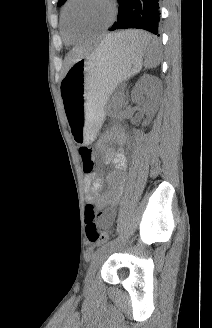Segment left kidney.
Instances as JSON below:
<instances>
[{"mask_svg":"<svg viewBox=\"0 0 212 328\" xmlns=\"http://www.w3.org/2000/svg\"><path fill=\"white\" fill-rule=\"evenodd\" d=\"M159 91L160 82L158 78L152 75L142 76L136 83L132 91V100L134 102L142 101L144 95L148 96L147 100L142 101V103L144 104V111L149 118L143 123V125L149 124L150 119L155 115L157 111L159 102Z\"/></svg>","mask_w":212,"mask_h":328,"instance_id":"5707ae66","label":"left kidney"}]
</instances>
